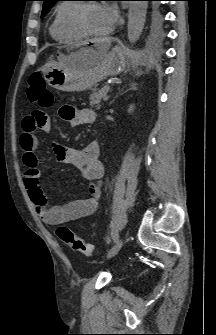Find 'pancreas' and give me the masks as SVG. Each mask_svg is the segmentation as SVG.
<instances>
[{
  "instance_id": "obj_1",
  "label": "pancreas",
  "mask_w": 216,
  "mask_h": 335,
  "mask_svg": "<svg viewBox=\"0 0 216 335\" xmlns=\"http://www.w3.org/2000/svg\"><path fill=\"white\" fill-rule=\"evenodd\" d=\"M108 89H102L99 91H94L90 95V106L99 109L101 107L100 103L102 98L107 94Z\"/></svg>"
}]
</instances>
